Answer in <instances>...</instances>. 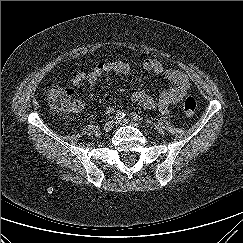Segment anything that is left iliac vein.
<instances>
[{"label": "left iliac vein", "instance_id": "obj_1", "mask_svg": "<svg viewBox=\"0 0 243 243\" xmlns=\"http://www.w3.org/2000/svg\"><path fill=\"white\" fill-rule=\"evenodd\" d=\"M119 125H130V126H134V127H139V125L129 119H123V120H119L116 122Z\"/></svg>", "mask_w": 243, "mask_h": 243}]
</instances>
